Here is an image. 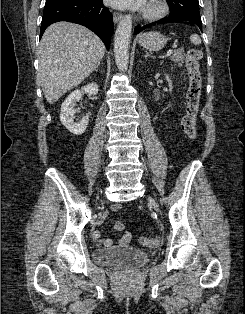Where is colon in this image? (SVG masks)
Listing matches in <instances>:
<instances>
[{
    "instance_id": "obj_1",
    "label": "colon",
    "mask_w": 245,
    "mask_h": 314,
    "mask_svg": "<svg viewBox=\"0 0 245 314\" xmlns=\"http://www.w3.org/2000/svg\"><path fill=\"white\" fill-rule=\"evenodd\" d=\"M201 51L196 48L188 50L186 55V68L189 74V88L187 92L186 113L182 119V129L192 140L196 139V118L199 109V102L202 88V77L200 73ZM124 225L121 224V228ZM139 243L145 247H156L158 239L152 236H142Z\"/></svg>"
}]
</instances>
